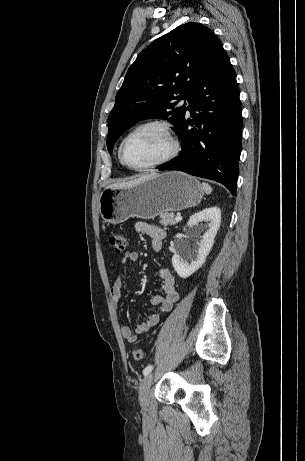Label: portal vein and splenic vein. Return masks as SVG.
I'll return each instance as SVG.
<instances>
[{"mask_svg":"<svg viewBox=\"0 0 305 461\" xmlns=\"http://www.w3.org/2000/svg\"><path fill=\"white\" fill-rule=\"evenodd\" d=\"M182 217L180 215L176 216V221H181Z\"/></svg>","mask_w":305,"mask_h":461,"instance_id":"18ae733b","label":"portal vein and splenic vein"}]
</instances>
